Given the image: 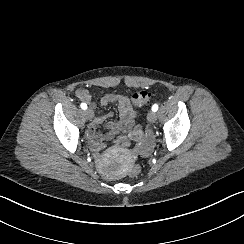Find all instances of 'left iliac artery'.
I'll list each match as a JSON object with an SVG mask.
<instances>
[{
    "instance_id": "left-iliac-artery-1",
    "label": "left iliac artery",
    "mask_w": 244,
    "mask_h": 244,
    "mask_svg": "<svg viewBox=\"0 0 244 244\" xmlns=\"http://www.w3.org/2000/svg\"><path fill=\"white\" fill-rule=\"evenodd\" d=\"M158 110V105L157 104H154L152 106V111L156 112Z\"/></svg>"
}]
</instances>
